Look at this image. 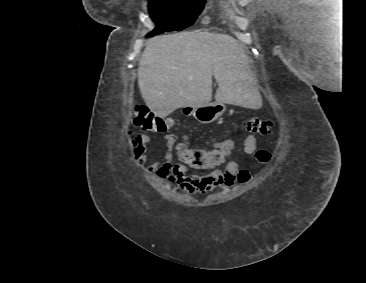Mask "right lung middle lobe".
I'll return each mask as SVG.
<instances>
[{"label":"right lung middle lobe","mask_w":366,"mask_h":283,"mask_svg":"<svg viewBox=\"0 0 366 283\" xmlns=\"http://www.w3.org/2000/svg\"><path fill=\"white\" fill-rule=\"evenodd\" d=\"M205 0H149V13L156 28L147 36L180 31L194 23Z\"/></svg>","instance_id":"obj_1"}]
</instances>
